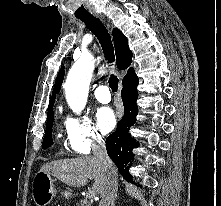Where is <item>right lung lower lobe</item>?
<instances>
[{"label":"right lung lower lobe","mask_w":221,"mask_h":206,"mask_svg":"<svg viewBox=\"0 0 221 206\" xmlns=\"http://www.w3.org/2000/svg\"><path fill=\"white\" fill-rule=\"evenodd\" d=\"M138 82L135 73L123 80L121 96L124 104V115L118 122L116 131L106 138L107 153L117 166L119 173L127 181H132V176L128 172L132 164L130 160L134 158L132 149L138 147V143L129 133V129L136 122V115L138 114L136 105Z\"/></svg>","instance_id":"obj_1"}]
</instances>
